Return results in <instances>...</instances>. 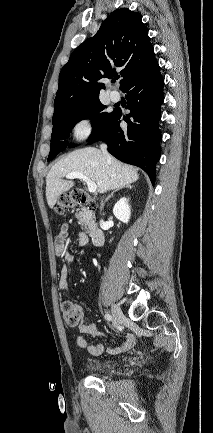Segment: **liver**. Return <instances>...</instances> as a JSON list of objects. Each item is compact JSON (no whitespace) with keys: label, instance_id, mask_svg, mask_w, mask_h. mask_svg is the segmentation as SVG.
<instances>
[{"label":"liver","instance_id":"1","mask_svg":"<svg viewBox=\"0 0 213 433\" xmlns=\"http://www.w3.org/2000/svg\"><path fill=\"white\" fill-rule=\"evenodd\" d=\"M72 172H80L89 177L97 185L99 193L136 182L139 178L137 170L121 161L105 157L94 147H87L69 153L59 160L46 177V198L53 208L59 196L74 186L71 180H63Z\"/></svg>","mask_w":213,"mask_h":433}]
</instances>
